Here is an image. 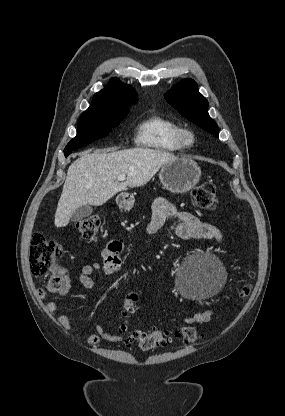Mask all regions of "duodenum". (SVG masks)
<instances>
[{
	"label": "duodenum",
	"mask_w": 285,
	"mask_h": 416,
	"mask_svg": "<svg viewBox=\"0 0 285 416\" xmlns=\"http://www.w3.org/2000/svg\"><path fill=\"white\" fill-rule=\"evenodd\" d=\"M131 196L129 193H120L117 199V204L119 206H126L130 201Z\"/></svg>",
	"instance_id": "duodenum-1"
}]
</instances>
